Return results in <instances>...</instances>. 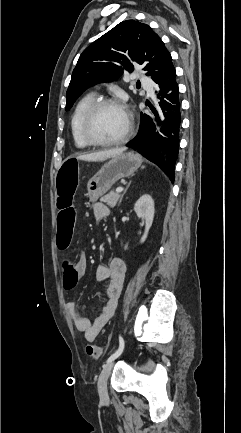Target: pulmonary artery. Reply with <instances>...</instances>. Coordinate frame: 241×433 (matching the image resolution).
Listing matches in <instances>:
<instances>
[{
    "instance_id": "1",
    "label": "pulmonary artery",
    "mask_w": 241,
    "mask_h": 433,
    "mask_svg": "<svg viewBox=\"0 0 241 433\" xmlns=\"http://www.w3.org/2000/svg\"><path fill=\"white\" fill-rule=\"evenodd\" d=\"M138 79H139V81H140L141 83H147V82H149L148 78L145 77L144 75H139V76H138Z\"/></svg>"
}]
</instances>
